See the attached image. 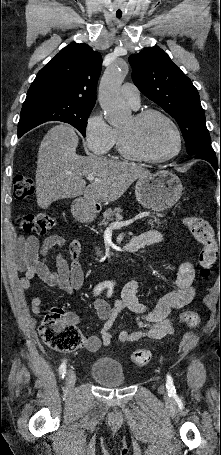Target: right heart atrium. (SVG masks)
<instances>
[{
  "label": "right heart atrium",
  "instance_id": "1",
  "mask_svg": "<svg viewBox=\"0 0 221 455\" xmlns=\"http://www.w3.org/2000/svg\"><path fill=\"white\" fill-rule=\"evenodd\" d=\"M84 138L87 149L96 155H105L113 147V129L98 111L92 112L85 122Z\"/></svg>",
  "mask_w": 221,
  "mask_h": 455
}]
</instances>
